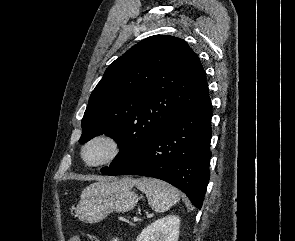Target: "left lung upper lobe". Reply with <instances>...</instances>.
<instances>
[{
    "label": "left lung upper lobe",
    "mask_w": 295,
    "mask_h": 241,
    "mask_svg": "<svg viewBox=\"0 0 295 241\" xmlns=\"http://www.w3.org/2000/svg\"><path fill=\"white\" fill-rule=\"evenodd\" d=\"M209 96L198 56L180 38L148 37L105 71L82 119L80 143L105 133L120 152L107 174L131 159L159 130Z\"/></svg>",
    "instance_id": "obj_1"
}]
</instances>
